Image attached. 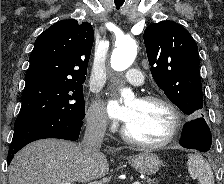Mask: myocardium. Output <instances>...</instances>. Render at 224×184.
I'll use <instances>...</instances> for the list:
<instances>
[{"label": "myocardium", "instance_id": "1", "mask_svg": "<svg viewBox=\"0 0 224 184\" xmlns=\"http://www.w3.org/2000/svg\"><path fill=\"white\" fill-rule=\"evenodd\" d=\"M139 100L144 103H158L165 106L169 110L172 116V124L170 127V131L168 135L161 141L145 142V141H141L139 139L132 137L128 132L127 125L125 124L122 128L123 138L131 144L145 147V148H150V149L163 148L169 145L170 143H172L176 139V137L179 135L180 130L182 128V123H183L182 116L178 107L171 100L163 96H158V95H146L141 97Z\"/></svg>", "mask_w": 224, "mask_h": 184}]
</instances>
